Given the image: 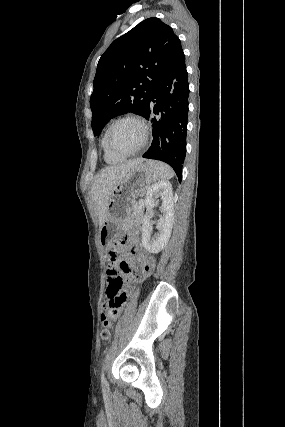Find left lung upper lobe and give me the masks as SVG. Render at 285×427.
I'll use <instances>...</instances> for the list:
<instances>
[{
    "instance_id": "obj_1",
    "label": "left lung upper lobe",
    "mask_w": 285,
    "mask_h": 427,
    "mask_svg": "<svg viewBox=\"0 0 285 427\" xmlns=\"http://www.w3.org/2000/svg\"><path fill=\"white\" fill-rule=\"evenodd\" d=\"M181 51L172 28L156 17L114 40L101 56L94 78L90 98L94 135L117 115L143 116L156 85Z\"/></svg>"
}]
</instances>
